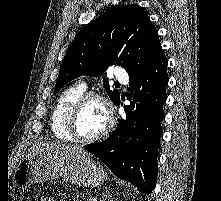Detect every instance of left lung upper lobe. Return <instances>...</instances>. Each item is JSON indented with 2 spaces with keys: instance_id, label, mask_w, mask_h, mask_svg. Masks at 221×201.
<instances>
[{
  "instance_id": "left-lung-upper-lobe-1",
  "label": "left lung upper lobe",
  "mask_w": 221,
  "mask_h": 201,
  "mask_svg": "<svg viewBox=\"0 0 221 201\" xmlns=\"http://www.w3.org/2000/svg\"><path fill=\"white\" fill-rule=\"evenodd\" d=\"M162 54L158 31L138 5H127L103 13L87 24L69 45L60 67L54 94L81 75L100 76L113 64L125 68L131 77L144 72ZM103 85L115 104L120 93Z\"/></svg>"
}]
</instances>
